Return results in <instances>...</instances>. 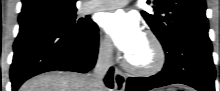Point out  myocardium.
Returning <instances> with one entry per match:
<instances>
[{
  "label": "myocardium",
  "mask_w": 220,
  "mask_h": 91,
  "mask_svg": "<svg viewBox=\"0 0 220 91\" xmlns=\"http://www.w3.org/2000/svg\"><path fill=\"white\" fill-rule=\"evenodd\" d=\"M146 40L151 44L153 50L152 62L147 66H136L129 61L125 60L126 69L137 76H152L162 70L166 62V53L160 39L153 32L145 34Z\"/></svg>",
  "instance_id": "obj_1"
}]
</instances>
